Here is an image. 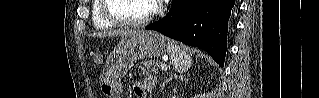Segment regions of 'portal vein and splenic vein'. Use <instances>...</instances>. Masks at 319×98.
Masks as SVG:
<instances>
[{"instance_id":"obj_1","label":"portal vein and splenic vein","mask_w":319,"mask_h":98,"mask_svg":"<svg viewBox=\"0 0 319 98\" xmlns=\"http://www.w3.org/2000/svg\"><path fill=\"white\" fill-rule=\"evenodd\" d=\"M160 69H161L162 71H166V70L168 69L167 64L161 63V64H160Z\"/></svg>"}]
</instances>
